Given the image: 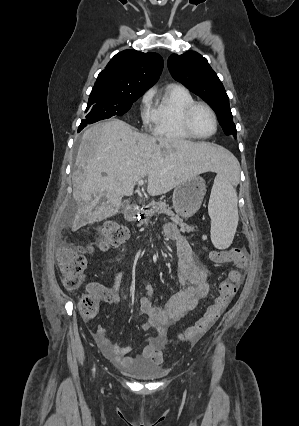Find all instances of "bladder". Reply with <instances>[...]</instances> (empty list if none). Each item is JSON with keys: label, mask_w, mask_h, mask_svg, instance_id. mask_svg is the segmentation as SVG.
I'll use <instances>...</instances> for the list:
<instances>
[{"label": "bladder", "mask_w": 299, "mask_h": 426, "mask_svg": "<svg viewBox=\"0 0 299 426\" xmlns=\"http://www.w3.org/2000/svg\"><path fill=\"white\" fill-rule=\"evenodd\" d=\"M124 372L127 375L142 381L157 380L165 375L164 368L156 365H139L124 368Z\"/></svg>", "instance_id": "31cf9c89"}]
</instances>
